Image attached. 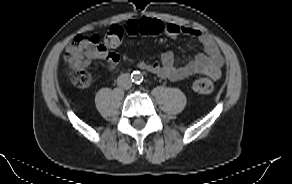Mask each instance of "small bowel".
I'll use <instances>...</instances> for the list:
<instances>
[{
    "label": "small bowel",
    "instance_id": "small-bowel-1",
    "mask_svg": "<svg viewBox=\"0 0 292 184\" xmlns=\"http://www.w3.org/2000/svg\"><path fill=\"white\" fill-rule=\"evenodd\" d=\"M146 19L151 18L142 17L128 20L123 26L124 32L130 36L142 34L141 24ZM153 20L160 22L161 33L169 37L176 38L179 35H187L197 39L203 46V52L196 54L186 63H181L171 51H166L161 55L160 62L140 61L139 67L141 69L171 81H179L193 75H206L215 80L221 77L224 59L217 43L209 34L193 27ZM94 58L104 60L111 71L115 70L119 61L118 54L108 51L102 52Z\"/></svg>",
    "mask_w": 292,
    "mask_h": 184
}]
</instances>
